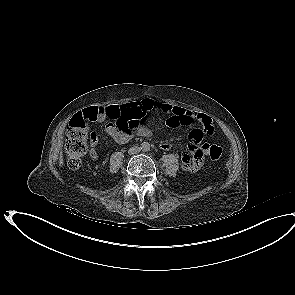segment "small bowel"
I'll return each mask as SVG.
<instances>
[{
    "label": "small bowel",
    "instance_id": "obj_1",
    "mask_svg": "<svg viewBox=\"0 0 295 295\" xmlns=\"http://www.w3.org/2000/svg\"><path fill=\"white\" fill-rule=\"evenodd\" d=\"M122 108L130 116L132 121L137 122L134 128L119 129L116 124L109 122L106 125V133L117 143H126L135 135L148 137L151 135V130L146 126L147 114L156 112L166 116V124L170 128H176L181 125L190 126L198 122L202 128H196L190 131L188 152H184L181 156V164L185 170H199L203 166V158L209 152V144L203 143L204 137H213L215 134L212 119L205 113H200L185 109L178 106H173L154 99H144L137 102L127 103L121 107H101L93 106L84 109L79 116L85 118L89 122H104L107 119V112H113ZM140 123V124H139ZM99 138L96 132H92L90 136V157L97 159L98 154L96 147ZM161 149L168 150L172 147L171 142L162 141L159 144Z\"/></svg>",
    "mask_w": 295,
    "mask_h": 295
}]
</instances>
